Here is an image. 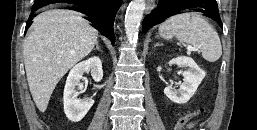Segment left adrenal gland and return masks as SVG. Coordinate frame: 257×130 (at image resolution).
I'll use <instances>...</instances> for the list:
<instances>
[{
  "label": "left adrenal gland",
  "instance_id": "1",
  "mask_svg": "<svg viewBox=\"0 0 257 130\" xmlns=\"http://www.w3.org/2000/svg\"><path fill=\"white\" fill-rule=\"evenodd\" d=\"M162 46V44L156 43L154 47Z\"/></svg>",
  "mask_w": 257,
  "mask_h": 130
}]
</instances>
